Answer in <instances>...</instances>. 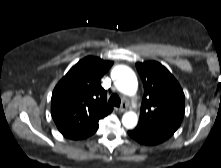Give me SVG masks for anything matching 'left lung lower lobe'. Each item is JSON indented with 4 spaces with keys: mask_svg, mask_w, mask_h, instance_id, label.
<instances>
[{
    "mask_svg": "<svg viewBox=\"0 0 221 168\" xmlns=\"http://www.w3.org/2000/svg\"><path fill=\"white\" fill-rule=\"evenodd\" d=\"M128 134L131 138L143 145H156L168 139L160 134L137 127L128 131Z\"/></svg>",
    "mask_w": 221,
    "mask_h": 168,
    "instance_id": "0a47b994",
    "label": "left lung lower lobe"
}]
</instances>
